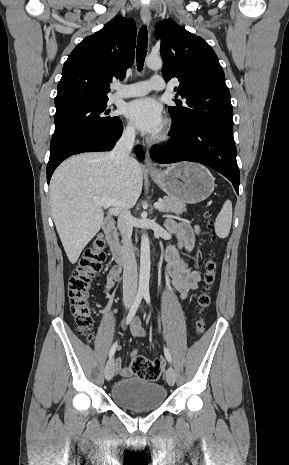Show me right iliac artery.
Here are the masks:
<instances>
[{"label":"right iliac artery","instance_id":"obj_1","mask_svg":"<svg viewBox=\"0 0 289 465\" xmlns=\"http://www.w3.org/2000/svg\"><path fill=\"white\" fill-rule=\"evenodd\" d=\"M144 296V293L143 292H138L135 299H134V302L129 310V313L127 315V318H126V325H128L132 318L134 317V315L136 314L137 310H138V307L142 301V298ZM116 348H117V342H115L111 349H110V352H109V358H111L114 354H115V351H116Z\"/></svg>","mask_w":289,"mask_h":465}]
</instances>
